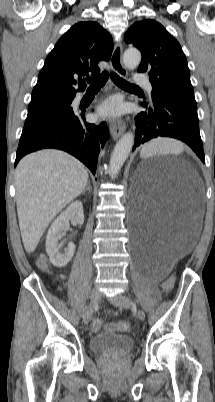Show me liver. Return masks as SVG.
<instances>
[{
    "instance_id": "liver-1",
    "label": "liver",
    "mask_w": 215,
    "mask_h": 402,
    "mask_svg": "<svg viewBox=\"0 0 215 402\" xmlns=\"http://www.w3.org/2000/svg\"><path fill=\"white\" fill-rule=\"evenodd\" d=\"M88 183L84 165L71 155L45 149L26 155L15 176L21 237L32 253L54 217L80 195Z\"/></svg>"
}]
</instances>
